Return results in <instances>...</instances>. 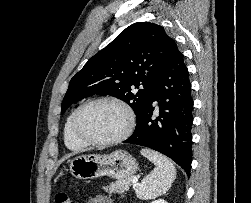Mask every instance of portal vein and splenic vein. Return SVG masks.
<instances>
[{"instance_id":"obj_1","label":"portal vein and splenic vein","mask_w":251,"mask_h":203,"mask_svg":"<svg viewBox=\"0 0 251 203\" xmlns=\"http://www.w3.org/2000/svg\"><path fill=\"white\" fill-rule=\"evenodd\" d=\"M132 181H133V183H135V184H136V183L138 182V179H137V178H133V180H132Z\"/></svg>"}]
</instances>
